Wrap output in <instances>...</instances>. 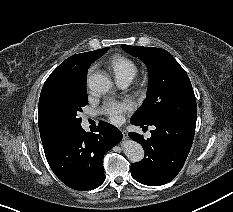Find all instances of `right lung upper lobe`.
I'll use <instances>...</instances> for the list:
<instances>
[{"label":"right lung upper lobe","mask_w":233,"mask_h":212,"mask_svg":"<svg viewBox=\"0 0 233 212\" xmlns=\"http://www.w3.org/2000/svg\"><path fill=\"white\" fill-rule=\"evenodd\" d=\"M101 50L76 54L69 57L50 74L42 89L65 79L86 77L90 64L100 57ZM39 129L44 150L50 148L59 140L48 135L40 126Z\"/></svg>","instance_id":"cb5924a9"}]
</instances>
